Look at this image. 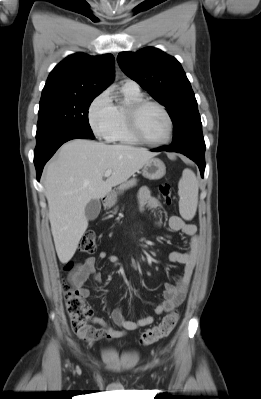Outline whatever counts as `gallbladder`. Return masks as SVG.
Returning a JSON list of instances; mask_svg holds the SVG:
<instances>
[{
    "mask_svg": "<svg viewBox=\"0 0 261 399\" xmlns=\"http://www.w3.org/2000/svg\"><path fill=\"white\" fill-rule=\"evenodd\" d=\"M100 210V201L98 199H92L85 207V216L88 220H94L98 217Z\"/></svg>",
    "mask_w": 261,
    "mask_h": 399,
    "instance_id": "gallbladder-1",
    "label": "gallbladder"
}]
</instances>
